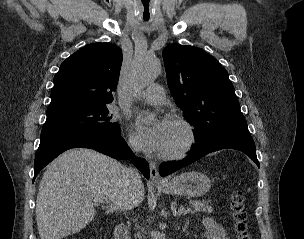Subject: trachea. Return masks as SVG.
<instances>
[{
    "label": "trachea",
    "instance_id": "3493384b",
    "mask_svg": "<svg viewBox=\"0 0 304 239\" xmlns=\"http://www.w3.org/2000/svg\"><path fill=\"white\" fill-rule=\"evenodd\" d=\"M151 4H152V0H141L140 1L142 18L145 20L151 18V13L148 12L150 10Z\"/></svg>",
    "mask_w": 304,
    "mask_h": 239
}]
</instances>
